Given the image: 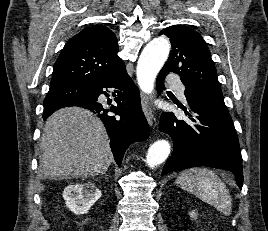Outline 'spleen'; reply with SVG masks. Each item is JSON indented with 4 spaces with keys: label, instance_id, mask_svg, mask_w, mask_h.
Instances as JSON below:
<instances>
[{
    "label": "spleen",
    "instance_id": "1",
    "mask_svg": "<svg viewBox=\"0 0 268 231\" xmlns=\"http://www.w3.org/2000/svg\"><path fill=\"white\" fill-rule=\"evenodd\" d=\"M176 184L214 206L224 215L231 214L232 199L229 190L213 171L207 168L185 170L177 178Z\"/></svg>",
    "mask_w": 268,
    "mask_h": 231
}]
</instances>
